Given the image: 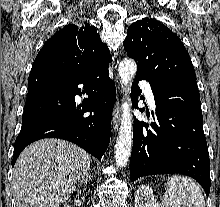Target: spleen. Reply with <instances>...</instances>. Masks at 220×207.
Instances as JSON below:
<instances>
[{"label":"spleen","mask_w":220,"mask_h":207,"mask_svg":"<svg viewBox=\"0 0 220 207\" xmlns=\"http://www.w3.org/2000/svg\"><path fill=\"white\" fill-rule=\"evenodd\" d=\"M167 186L169 189L163 204L170 207H205L203 193L193 180L174 175L168 179Z\"/></svg>","instance_id":"obj_1"}]
</instances>
